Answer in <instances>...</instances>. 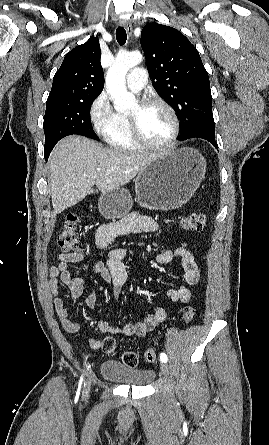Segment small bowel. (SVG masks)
Wrapping results in <instances>:
<instances>
[{"label":"small bowel","mask_w":269,"mask_h":445,"mask_svg":"<svg viewBox=\"0 0 269 445\" xmlns=\"http://www.w3.org/2000/svg\"><path fill=\"white\" fill-rule=\"evenodd\" d=\"M159 229L158 223L151 217L131 213L126 218L117 222L107 223L100 226L96 232V245L99 249L105 248L115 238L129 233L154 232ZM85 253L57 255V264L50 268V279L48 288L54 297V307L63 329L69 333H77L82 330L80 324L71 321L64 300L60 296V285H65L70 291L72 303H75L84 292V280L81 277L73 276L70 263L77 262L84 257ZM127 252L123 248H115L108 253L104 261H97L93 266V272L100 275L103 280L112 286L114 297H118L121 288L128 280V272L125 265ZM156 260L160 264H175L182 270L183 279L186 285L166 290V297L174 304H186L192 298L191 290L188 286L198 283L200 271L193 255L187 249V245L181 242L175 249H166L158 253ZM97 303V295L90 292L86 298V305L93 310ZM166 319V310L158 307L149 314L146 319L136 323L123 326L115 323L100 321L97 328L106 334H122L126 336H144ZM89 345L92 349L101 348L102 342L93 337H88Z\"/></svg>","instance_id":"c3829d8e"}]
</instances>
